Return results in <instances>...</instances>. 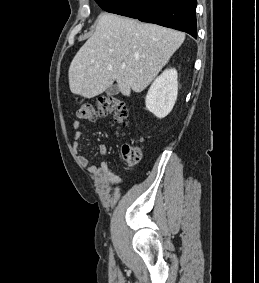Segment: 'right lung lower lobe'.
Segmentation results:
<instances>
[{"instance_id": "obj_1", "label": "right lung lower lobe", "mask_w": 259, "mask_h": 283, "mask_svg": "<svg viewBox=\"0 0 259 283\" xmlns=\"http://www.w3.org/2000/svg\"><path fill=\"white\" fill-rule=\"evenodd\" d=\"M107 12L184 31L197 38L196 0H95Z\"/></svg>"}]
</instances>
